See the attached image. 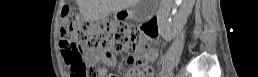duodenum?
<instances>
[{"mask_svg": "<svg viewBox=\"0 0 258 77\" xmlns=\"http://www.w3.org/2000/svg\"><path fill=\"white\" fill-rule=\"evenodd\" d=\"M146 30H148L149 32H151L154 37L158 36L159 35V27H158V23H157V19H151L146 27H145Z\"/></svg>", "mask_w": 258, "mask_h": 77, "instance_id": "obj_1", "label": "duodenum"}]
</instances>
